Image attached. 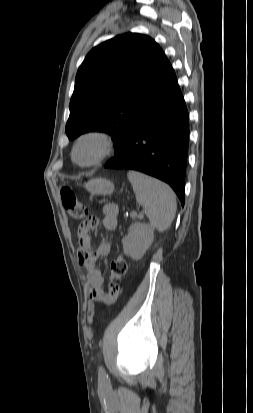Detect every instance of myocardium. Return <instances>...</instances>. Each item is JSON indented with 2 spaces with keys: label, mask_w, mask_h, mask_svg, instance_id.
<instances>
[{
  "label": "myocardium",
  "mask_w": 253,
  "mask_h": 413,
  "mask_svg": "<svg viewBox=\"0 0 253 413\" xmlns=\"http://www.w3.org/2000/svg\"><path fill=\"white\" fill-rule=\"evenodd\" d=\"M87 140H93L98 144V153L91 161L80 162L76 157V153L80 144ZM113 150L114 141L109 133L103 130H89L81 133L75 139L71 150V158L80 167H91L104 161Z\"/></svg>",
  "instance_id": "1"
}]
</instances>
